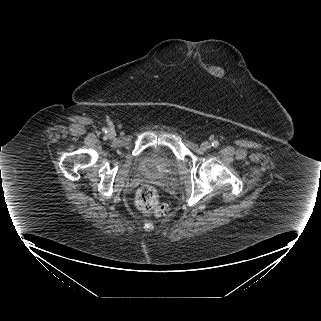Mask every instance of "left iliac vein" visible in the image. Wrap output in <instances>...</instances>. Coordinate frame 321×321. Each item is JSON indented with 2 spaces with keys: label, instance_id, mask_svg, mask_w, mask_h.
I'll use <instances>...</instances> for the list:
<instances>
[{
  "label": "left iliac vein",
  "instance_id": "obj_1",
  "mask_svg": "<svg viewBox=\"0 0 321 321\" xmlns=\"http://www.w3.org/2000/svg\"><path fill=\"white\" fill-rule=\"evenodd\" d=\"M211 148V144L209 143V142H207V141H205V142H203L202 144H201V149L202 150H208V149H210Z\"/></svg>",
  "mask_w": 321,
  "mask_h": 321
}]
</instances>
